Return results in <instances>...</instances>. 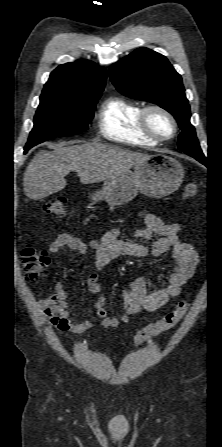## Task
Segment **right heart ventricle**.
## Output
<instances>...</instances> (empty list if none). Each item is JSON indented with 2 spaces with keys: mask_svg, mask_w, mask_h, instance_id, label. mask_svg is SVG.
Listing matches in <instances>:
<instances>
[{
  "mask_svg": "<svg viewBox=\"0 0 222 447\" xmlns=\"http://www.w3.org/2000/svg\"><path fill=\"white\" fill-rule=\"evenodd\" d=\"M141 110L140 104L124 98L107 99L98 113L100 134L119 143L155 145L157 140L145 134L140 127Z\"/></svg>",
  "mask_w": 222,
  "mask_h": 447,
  "instance_id": "right-heart-ventricle-1",
  "label": "right heart ventricle"
}]
</instances>
